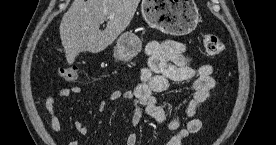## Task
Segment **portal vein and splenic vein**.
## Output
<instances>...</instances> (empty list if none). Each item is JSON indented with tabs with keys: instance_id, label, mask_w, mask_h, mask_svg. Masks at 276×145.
Masks as SVG:
<instances>
[{
	"instance_id": "18ae733b",
	"label": "portal vein and splenic vein",
	"mask_w": 276,
	"mask_h": 145,
	"mask_svg": "<svg viewBox=\"0 0 276 145\" xmlns=\"http://www.w3.org/2000/svg\"><path fill=\"white\" fill-rule=\"evenodd\" d=\"M109 19H113V16H110Z\"/></svg>"
}]
</instances>
